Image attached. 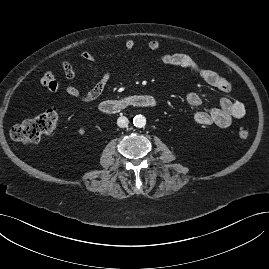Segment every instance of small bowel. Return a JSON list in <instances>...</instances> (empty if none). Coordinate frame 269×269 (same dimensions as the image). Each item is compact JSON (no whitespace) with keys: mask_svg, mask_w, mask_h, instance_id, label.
<instances>
[{"mask_svg":"<svg viewBox=\"0 0 269 269\" xmlns=\"http://www.w3.org/2000/svg\"><path fill=\"white\" fill-rule=\"evenodd\" d=\"M135 48V41L128 39L124 44L126 53L131 52ZM150 52H158L160 44L157 40H151L147 44ZM82 57L88 62H98L99 58L89 50L82 52ZM160 62L165 65L175 66L187 69L196 74L207 84L217 88L221 92L229 93L231 91L230 83L219 73L200 67L190 56L183 53H166L160 56ZM62 69L68 79H74L77 76V70L69 61L62 62ZM111 78L109 71H105L97 83L86 92L80 91L74 86H68L64 89L66 95L78 99L83 102H90L98 98ZM41 85L50 92L59 91V83L57 82L52 71H46L40 79ZM186 103L190 107H198L202 104V97L197 92H191L186 96ZM246 114V107L242 102L232 101L228 97H222L219 106L210 110H201L194 114L193 121L197 125H216L226 128L231 125L233 120L240 119Z\"/></svg>","mask_w":269,"mask_h":269,"instance_id":"1","label":"small bowel"}]
</instances>
